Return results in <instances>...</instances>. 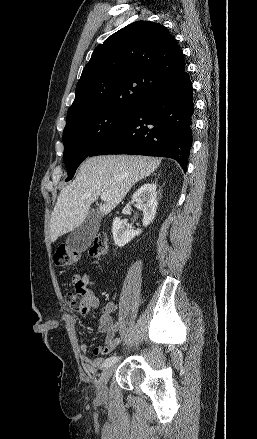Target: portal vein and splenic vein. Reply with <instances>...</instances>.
<instances>
[{
  "label": "portal vein and splenic vein",
  "mask_w": 257,
  "mask_h": 439,
  "mask_svg": "<svg viewBox=\"0 0 257 439\" xmlns=\"http://www.w3.org/2000/svg\"><path fill=\"white\" fill-rule=\"evenodd\" d=\"M101 200L108 201L111 199V196L109 194L103 193L100 195Z\"/></svg>",
  "instance_id": "18ae733b"
}]
</instances>
